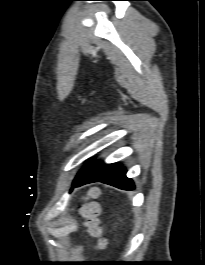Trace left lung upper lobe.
I'll use <instances>...</instances> for the list:
<instances>
[{
  "instance_id": "left-lung-upper-lobe-1",
  "label": "left lung upper lobe",
  "mask_w": 205,
  "mask_h": 265,
  "mask_svg": "<svg viewBox=\"0 0 205 265\" xmlns=\"http://www.w3.org/2000/svg\"><path fill=\"white\" fill-rule=\"evenodd\" d=\"M91 162H92V160L89 161V162L87 163V165L90 164ZM84 170H85V168H83V169L78 173V175H77L76 177H78V176H79Z\"/></svg>"
}]
</instances>
